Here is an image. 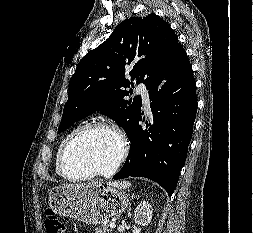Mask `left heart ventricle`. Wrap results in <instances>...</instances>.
<instances>
[{"label": "left heart ventricle", "instance_id": "b2bd125f", "mask_svg": "<svg viewBox=\"0 0 253 233\" xmlns=\"http://www.w3.org/2000/svg\"><path fill=\"white\" fill-rule=\"evenodd\" d=\"M119 152V140L112 132L103 129L87 132L76 140L67 154V173L80 176L93 170H108Z\"/></svg>", "mask_w": 253, "mask_h": 233}]
</instances>
